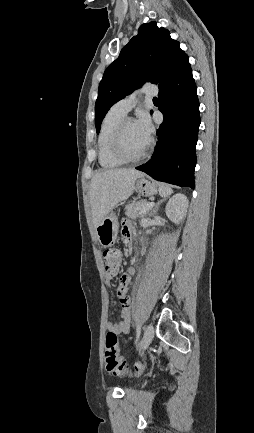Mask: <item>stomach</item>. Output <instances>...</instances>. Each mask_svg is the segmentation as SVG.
Listing matches in <instances>:
<instances>
[{
	"mask_svg": "<svg viewBox=\"0 0 254 433\" xmlns=\"http://www.w3.org/2000/svg\"><path fill=\"white\" fill-rule=\"evenodd\" d=\"M135 190L146 197L158 192L157 185L144 177L136 181ZM96 234L99 243L105 248L111 247L115 243L118 234V219L114 212L111 211L96 227Z\"/></svg>",
	"mask_w": 254,
	"mask_h": 433,
	"instance_id": "obj_1",
	"label": "stomach"
}]
</instances>
